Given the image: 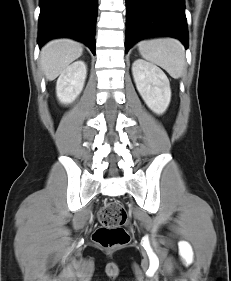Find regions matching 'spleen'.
Returning <instances> with one entry per match:
<instances>
[{
	"mask_svg": "<svg viewBox=\"0 0 231 281\" xmlns=\"http://www.w3.org/2000/svg\"><path fill=\"white\" fill-rule=\"evenodd\" d=\"M141 56L159 65L175 79L182 76L185 67V50L176 39H152L138 43Z\"/></svg>",
	"mask_w": 231,
	"mask_h": 281,
	"instance_id": "1",
	"label": "spleen"
}]
</instances>
